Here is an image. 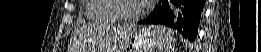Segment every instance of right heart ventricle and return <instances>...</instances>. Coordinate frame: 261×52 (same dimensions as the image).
Returning a JSON list of instances; mask_svg holds the SVG:
<instances>
[{"label":"right heart ventricle","mask_w":261,"mask_h":52,"mask_svg":"<svg viewBox=\"0 0 261 52\" xmlns=\"http://www.w3.org/2000/svg\"><path fill=\"white\" fill-rule=\"evenodd\" d=\"M114 0H88L85 6L86 19L94 24H115L119 22L113 10Z\"/></svg>","instance_id":"obj_1"}]
</instances>
